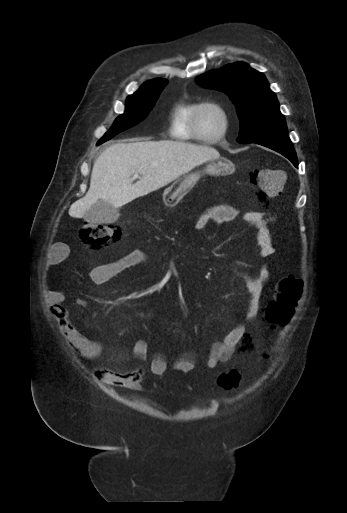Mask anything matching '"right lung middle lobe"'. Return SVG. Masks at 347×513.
<instances>
[{
  "label": "right lung middle lobe",
  "mask_w": 347,
  "mask_h": 513,
  "mask_svg": "<svg viewBox=\"0 0 347 513\" xmlns=\"http://www.w3.org/2000/svg\"><path fill=\"white\" fill-rule=\"evenodd\" d=\"M167 82L166 79L149 81L129 96L126 100L125 113L115 120L110 130L100 139L101 143L142 121L155 105Z\"/></svg>",
  "instance_id": "dd1d6c3e"
}]
</instances>
